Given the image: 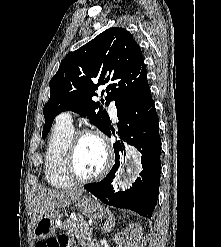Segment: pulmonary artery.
Returning a JSON list of instances; mask_svg holds the SVG:
<instances>
[{
	"label": "pulmonary artery",
	"mask_w": 221,
	"mask_h": 247,
	"mask_svg": "<svg viewBox=\"0 0 221 247\" xmlns=\"http://www.w3.org/2000/svg\"><path fill=\"white\" fill-rule=\"evenodd\" d=\"M109 113L112 116V118L114 120H116L117 110H116V107L113 103L110 105ZM58 121L65 123V124H68V125H72L73 120H72L71 113L70 112H63L62 114H60L58 116Z\"/></svg>",
	"instance_id": "1"
}]
</instances>
